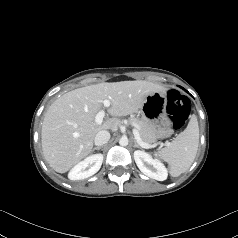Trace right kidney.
<instances>
[{"instance_id": "1", "label": "right kidney", "mask_w": 238, "mask_h": 238, "mask_svg": "<svg viewBox=\"0 0 238 238\" xmlns=\"http://www.w3.org/2000/svg\"><path fill=\"white\" fill-rule=\"evenodd\" d=\"M103 155L93 154L75 165L69 172L70 180H81L88 178L97 173L102 165ZM89 168V169H87Z\"/></svg>"}]
</instances>
